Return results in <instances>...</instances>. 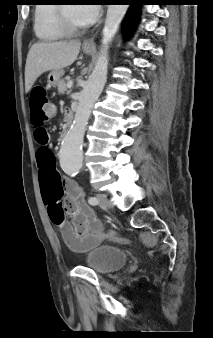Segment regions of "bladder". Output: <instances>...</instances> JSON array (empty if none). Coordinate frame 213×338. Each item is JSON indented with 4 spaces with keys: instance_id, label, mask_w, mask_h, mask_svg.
Here are the masks:
<instances>
[{
    "instance_id": "1",
    "label": "bladder",
    "mask_w": 213,
    "mask_h": 338,
    "mask_svg": "<svg viewBox=\"0 0 213 338\" xmlns=\"http://www.w3.org/2000/svg\"><path fill=\"white\" fill-rule=\"evenodd\" d=\"M126 251L117 246H98L86 256V265L98 275H107L123 267L127 262Z\"/></svg>"
}]
</instances>
